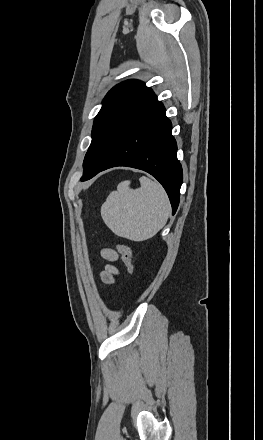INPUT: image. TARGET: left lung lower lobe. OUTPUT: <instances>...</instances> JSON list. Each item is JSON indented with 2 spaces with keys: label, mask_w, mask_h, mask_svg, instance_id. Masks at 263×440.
<instances>
[{
  "label": "left lung lower lobe",
  "mask_w": 263,
  "mask_h": 440,
  "mask_svg": "<svg viewBox=\"0 0 263 440\" xmlns=\"http://www.w3.org/2000/svg\"><path fill=\"white\" fill-rule=\"evenodd\" d=\"M171 129L165 108L154 95L137 112L107 163L81 181L115 166L144 170L165 188L174 214L179 204L183 172L177 160V144Z\"/></svg>",
  "instance_id": "obj_1"
}]
</instances>
